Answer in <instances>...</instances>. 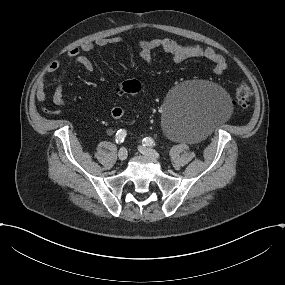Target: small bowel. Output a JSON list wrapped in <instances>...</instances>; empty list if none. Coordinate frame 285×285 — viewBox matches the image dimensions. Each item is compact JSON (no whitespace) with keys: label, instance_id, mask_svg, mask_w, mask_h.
<instances>
[{"label":"small bowel","instance_id":"obj_1","mask_svg":"<svg viewBox=\"0 0 285 285\" xmlns=\"http://www.w3.org/2000/svg\"><path fill=\"white\" fill-rule=\"evenodd\" d=\"M123 43L121 37L99 38L94 42L84 43L79 47H74L66 53V57L73 59L80 64L86 71L93 72V62L83 52H91L95 48L108 47L111 45H120ZM139 54L143 61L150 63L152 54L155 50H161L171 55L174 62H182L190 58H206L214 63L213 72L215 75H222L227 70V61L225 57L212 47H203L198 44L184 45L168 38H154L150 40H140L138 42ZM60 62H52L47 67V72H55L59 68ZM36 96L39 101H45L47 94L41 81L37 86ZM53 103L58 107H65L64 84L58 83L52 95Z\"/></svg>","mask_w":285,"mask_h":285}]
</instances>
